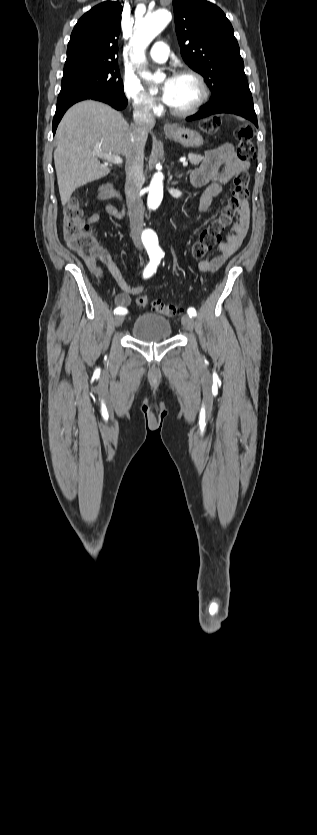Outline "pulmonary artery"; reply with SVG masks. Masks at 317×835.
<instances>
[{"label":"pulmonary artery","mask_w":317,"mask_h":835,"mask_svg":"<svg viewBox=\"0 0 317 835\" xmlns=\"http://www.w3.org/2000/svg\"><path fill=\"white\" fill-rule=\"evenodd\" d=\"M168 54V45L163 41L156 42L149 52L151 59L156 62H165L168 58Z\"/></svg>","instance_id":"1"}]
</instances>
